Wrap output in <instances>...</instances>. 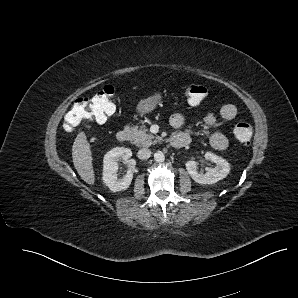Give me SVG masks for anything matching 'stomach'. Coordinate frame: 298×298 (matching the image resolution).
<instances>
[{
  "label": "stomach",
  "instance_id": "stomach-1",
  "mask_svg": "<svg viewBox=\"0 0 298 298\" xmlns=\"http://www.w3.org/2000/svg\"><path fill=\"white\" fill-rule=\"evenodd\" d=\"M162 101L161 93H155L154 95L141 100L137 105V111L140 114H146L153 111L159 103Z\"/></svg>",
  "mask_w": 298,
  "mask_h": 298
}]
</instances>
